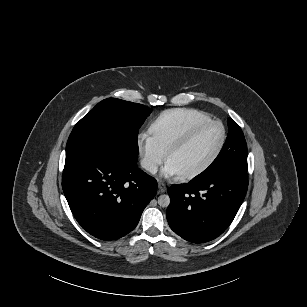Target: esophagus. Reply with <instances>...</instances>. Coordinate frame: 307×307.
Masks as SVG:
<instances>
[{
	"label": "esophagus",
	"instance_id": "obj_1",
	"mask_svg": "<svg viewBox=\"0 0 307 307\" xmlns=\"http://www.w3.org/2000/svg\"><path fill=\"white\" fill-rule=\"evenodd\" d=\"M158 190H159V193H165L166 190H167V187L164 183H159L158 184Z\"/></svg>",
	"mask_w": 307,
	"mask_h": 307
}]
</instances>
